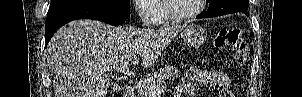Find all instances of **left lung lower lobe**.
<instances>
[{
    "mask_svg": "<svg viewBox=\"0 0 302 97\" xmlns=\"http://www.w3.org/2000/svg\"><path fill=\"white\" fill-rule=\"evenodd\" d=\"M215 16L220 15L218 13L210 12L209 10H207L206 12H203L202 14L198 15L196 18H210Z\"/></svg>",
    "mask_w": 302,
    "mask_h": 97,
    "instance_id": "0a47b994",
    "label": "left lung lower lobe"
}]
</instances>
